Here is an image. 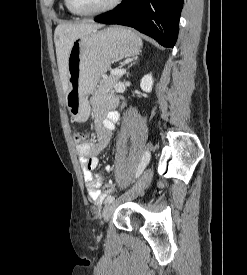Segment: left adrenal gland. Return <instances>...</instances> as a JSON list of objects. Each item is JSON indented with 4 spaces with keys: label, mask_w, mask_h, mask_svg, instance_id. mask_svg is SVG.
<instances>
[{
    "label": "left adrenal gland",
    "mask_w": 247,
    "mask_h": 275,
    "mask_svg": "<svg viewBox=\"0 0 247 275\" xmlns=\"http://www.w3.org/2000/svg\"><path fill=\"white\" fill-rule=\"evenodd\" d=\"M135 63V62H134ZM134 63H131L128 67L132 66Z\"/></svg>",
    "instance_id": "obj_1"
}]
</instances>
